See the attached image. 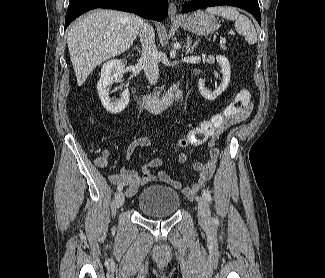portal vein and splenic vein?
<instances>
[{
    "label": "portal vein and splenic vein",
    "mask_w": 325,
    "mask_h": 278,
    "mask_svg": "<svg viewBox=\"0 0 325 278\" xmlns=\"http://www.w3.org/2000/svg\"><path fill=\"white\" fill-rule=\"evenodd\" d=\"M226 42V38L225 37H221L220 38V44L223 45Z\"/></svg>",
    "instance_id": "portal-vein-and-splenic-vein-1"
}]
</instances>
